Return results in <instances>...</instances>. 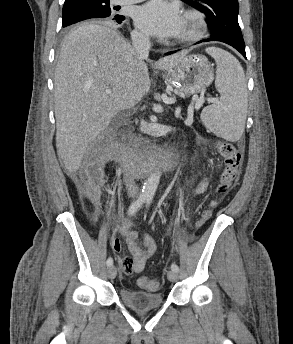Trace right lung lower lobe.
I'll return each mask as SVG.
<instances>
[{
    "mask_svg": "<svg viewBox=\"0 0 293 344\" xmlns=\"http://www.w3.org/2000/svg\"><path fill=\"white\" fill-rule=\"evenodd\" d=\"M125 17L124 16H119L116 15L112 18H105V20L111 21V22H115V23H119L121 24L124 21Z\"/></svg>",
    "mask_w": 293,
    "mask_h": 344,
    "instance_id": "obj_1",
    "label": "right lung lower lobe"
}]
</instances>
